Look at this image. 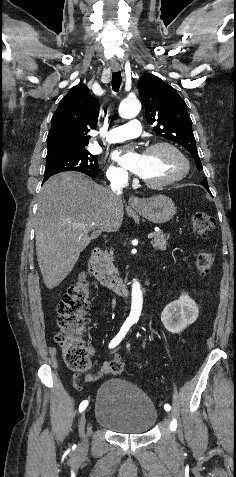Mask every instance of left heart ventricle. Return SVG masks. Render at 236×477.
<instances>
[{"label": "left heart ventricle", "mask_w": 236, "mask_h": 477, "mask_svg": "<svg viewBox=\"0 0 236 477\" xmlns=\"http://www.w3.org/2000/svg\"><path fill=\"white\" fill-rule=\"evenodd\" d=\"M182 160L168 148H160L144 154L142 178L151 182H162L178 174Z\"/></svg>", "instance_id": "b2bd125f"}]
</instances>
